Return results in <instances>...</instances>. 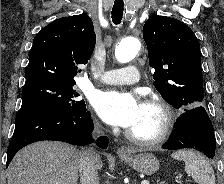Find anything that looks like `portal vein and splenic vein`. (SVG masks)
Masks as SVG:
<instances>
[{
  "label": "portal vein and splenic vein",
  "mask_w": 224,
  "mask_h": 184,
  "mask_svg": "<svg viewBox=\"0 0 224 184\" xmlns=\"http://www.w3.org/2000/svg\"><path fill=\"white\" fill-rule=\"evenodd\" d=\"M141 184H150V182H149L148 180H143V181L141 182Z\"/></svg>",
  "instance_id": "18ae733b"
}]
</instances>
